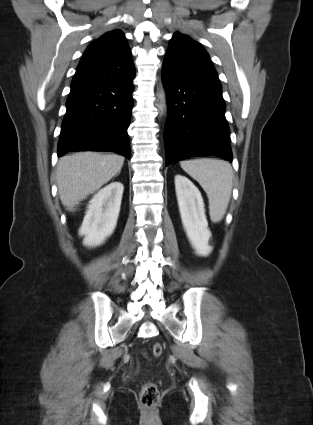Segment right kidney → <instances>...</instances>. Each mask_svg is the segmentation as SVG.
Segmentation results:
<instances>
[{
	"label": "right kidney",
	"mask_w": 313,
	"mask_h": 425,
	"mask_svg": "<svg viewBox=\"0 0 313 425\" xmlns=\"http://www.w3.org/2000/svg\"><path fill=\"white\" fill-rule=\"evenodd\" d=\"M124 186L112 182L98 191L90 200L86 215L79 229L83 244L96 247L112 235L119 216Z\"/></svg>",
	"instance_id": "right-kidney-1"
}]
</instances>
